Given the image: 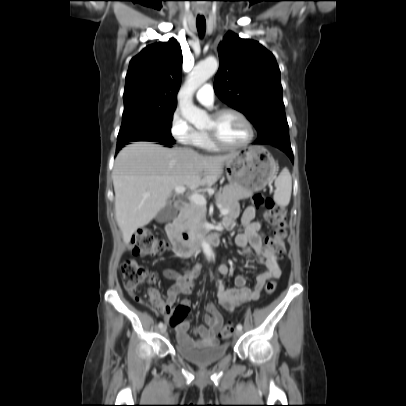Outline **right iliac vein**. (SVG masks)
Wrapping results in <instances>:
<instances>
[{
    "label": "right iliac vein",
    "instance_id": "1",
    "mask_svg": "<svg viewBox=\"0 0 406 406\" xmlns=\"http://www.w3.org/2000/svg\"><path fill=\"white\" fill-rule=\"evenodd\" d=\"M166 330H167L166 325H163V326L160 328V332H161L162 334H164V333L166 332Z\"/></svg>",
    "mask_w": 406,
    "mask_h": 406
}]
</instances>
